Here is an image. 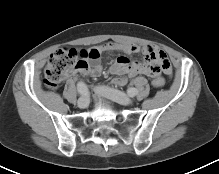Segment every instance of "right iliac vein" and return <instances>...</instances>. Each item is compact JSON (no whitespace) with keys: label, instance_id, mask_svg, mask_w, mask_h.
I'll list each match as a JSON object with an SVG mask.
<instances>
[{"label":"right iliac vein","instance_id":"1","mask_svg":"<svg viewBox=\"0 0 219 174\" xmlns=\"http://www.w3.org/2000/svg\"><path fill=\"white\" fill-rule=\"evenodd\" d=\"M89 104V98L87 96H82L79 98L77 105L79 108H86Z\"/></svg>","mask_w":219,"mask_h":174}]
</instances>
